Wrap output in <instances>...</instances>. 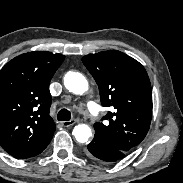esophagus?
<instances>
[{"label":"esophagus","instance_id":"1","mask_svg":"<svg viewBox=\"0 0 183 183\" xmlns=\"http://www.w3.org/2000/svg\"><path fill=\"white\" fill-rule=\"evenodd\" d=\"M76 123L75 119L69 120V121H62L61 125L64 127H70L73 126Z\"/></svg>","mask_w":183,"mask_h":183}]
</instances>
